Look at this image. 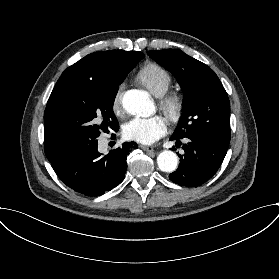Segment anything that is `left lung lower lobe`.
I'll return each mask as SVG.
<instances>
[{
	"label": "left lung lower lobe",
	"mask_w": 279,
	"mask_h": 279,
	"mask_svg": "<svg viewBox=\"0 0 279 279\" xmlns=\"http://www.w3.org/2000/svg\"><path fill=\"white\" fill-rule=\"evenodd\" d=\"M181 139H189L183 144L184 155H179L178 169L169 175L172 182L182 186H199L209 180L219 169L229 147L230 137L215 133L202 132L184 138L172 136L176 145ZM175 149V147H173Z\"/></svg>",
	"instance_id": "obj_1"
}]
</instances>
